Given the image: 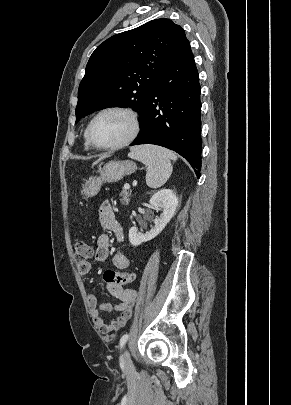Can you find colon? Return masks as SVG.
I'll list each match as a JSON object with an SVG mask.
<instances>
[{
	"label": "colon",
	"mask_w": 291,
	"mask_h": 405,
	"mask_svg": "<svg viewBox=\"0 0 291 405\" xmlns=\"http://www.w3.org/2000/svg\"><path fill=\"white\" fill-rule=\"evenodd\" d=\"M75 258L78 264H83L87 262L93 255L92 246L85 240H76L74 244ZM104 278L106 282H110L117 285H125L133 281L134 275L129 272H115L107 271L105 272Z\"/></svg>",
	"instance_id": "colon-1"
}]
</instances>
